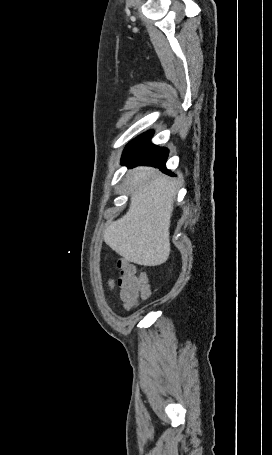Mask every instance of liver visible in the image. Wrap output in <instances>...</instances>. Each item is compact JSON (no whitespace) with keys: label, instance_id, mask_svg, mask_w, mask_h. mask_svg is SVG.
I'll return each mask as SVG.
<instances>
[{"label":"liver","instance_id":"liver-1","mask_svg":"<svg viewBox=\"0 0 272 455\" xmlns=\"http://www.w3.org/2000/svg\"><path fill=\"white\" fill-rule=\"evenodd\" d=\"M130 207L109 224L105 243L126 260L158 266L170 254L169 228L176 196L175 183L152 168H137L130 179Z\"/></svg>","mask_w":272,"mask_h":455}]
</instances>
